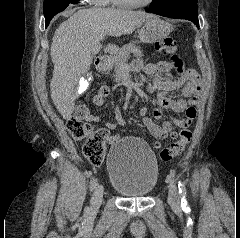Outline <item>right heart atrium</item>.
<instances>
[{"label": "right heart atrium", "mask_w": 240, "mask_h": 238, "mask_svg": "<svg viewBox=\"0 0 240 238\" xmlns=\"http://www.w3.org/2000/svg\"><path fill=\"white\" fill-rule=\"evenodd\" d=\"M84 2L91 5H104L108 0H83Z\"/></svg>", "instance_id": "d8ad5b80"}]
</instances>
